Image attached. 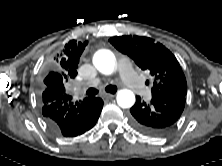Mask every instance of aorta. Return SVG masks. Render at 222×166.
I'll return each mask as SVG.
<instances>
[{
  "label": "aorta",
  "mask_w": 222,
  "mask_h": 166,
  "mask_svg": "<svg viewBox=\"0 0 222 166\" xmlns=\"http://www.w3.org/2000/svg\"><path fill=\"white\" fill-rule=\"evenodd\" d=\"M93 63L99 72L110 75L115 69L116 59L110 50L102 49L94 55ZM116 100L121 108H130L135 103V95L131 90L122 89L118 91Z\"/></svg>",
  "instance_id": "1"
}]
</instances>
